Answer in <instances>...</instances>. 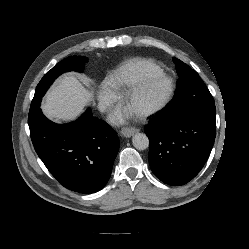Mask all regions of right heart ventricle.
<instances>
[{
    "instance_id": "right-heart-ventricle-1",
    "label": "right heart ventricle",
    "mask_w": 249,
    "mask_h": 249,
    "mask_svg": "<svg viewBox=\"0 0 249 249\" xmlns=\"http://www.w3.org/2000/svg\"><path fill=\"white\" fill-rule=\"evenodd\" d=\"M160 74H163V70L153 61L145 58H133L123 63L112 74L110 82L116 91H122Z\"/></svg>"
}]
</instances>
